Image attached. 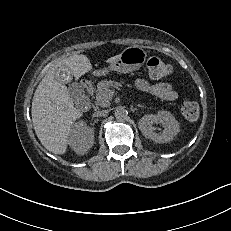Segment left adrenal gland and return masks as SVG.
Returning <instances> with one entry per match:
<instances>
[{"mask_svg":"<svg viewBox=\"0 0 231 231\" xmlns=\"http://www.w3.org/2000/svg\"><path fill=\"white\" fill-rule=\"evenodd\" d=\"M138 107H141V108H143L144 106H143V105H138Z\"/></svg>","mask_w":231,"mask_h":231,"instance_id":"1","label":"left adrenal gland"}]
</instances>
